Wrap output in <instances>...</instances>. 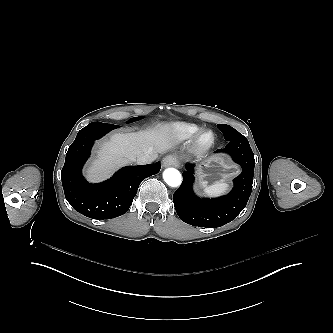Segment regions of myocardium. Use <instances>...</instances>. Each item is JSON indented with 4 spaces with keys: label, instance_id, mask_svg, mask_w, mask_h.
Segmentation results:
<instances>
[{
    "label": "myocardium",
    "instance_id": "1",
    "mask_svg": "<svg viewBox=\"0 0 333 333\" xmlns=\"http://www.w3.org/2000/svg\"><path fill=\"white\" fill-rule=\"evenodd\" d=\"M215 144V134L212 130L205 129L199 131L192 142V149L196 153H204Z\"/></svg>",
    "mask_w": 333,
    "mask_h": 333
}]
</instances>
